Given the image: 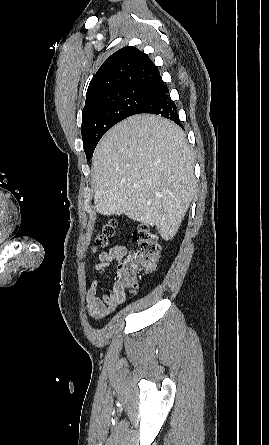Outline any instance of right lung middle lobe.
<instances>
[{"label":"right lung middle lobe","instance_id":"dd1d6c3e","mask_svg":"<svg viewBox=\"0 0 269 445\" xmlns=\"http://www.w3.org/2000/svg\"><path fill=\"white\" fill-rule=\"evenodd\" d=\"M156 95L155 87H125L109 91L86 104L82 111V139L87 160L92 158L97 143L107 130L136 114Z\"/></svg>","mask_w":269,"mask_h":445}]
</instances>
